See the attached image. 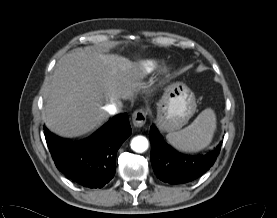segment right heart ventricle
I'll list each match as a JSON object with an SVG mask.
<instances>
[{
    "mask_svg": "<svg viewBox=\"0 0 277 218\" xmlns=\"http://www.w3.org/2000/svg\"><path fill=\"white\" fill-rule=\"evenodd\" d=\"M157 65V60H144L139 65L140 73L142 75L149 74L156 69Z\"/></svg>",
    "mask_w": 277,
    "mask_h": 218,
    "instance_id": "obj_1",
    "label": "right heart ventricle"
}]
</instances>
